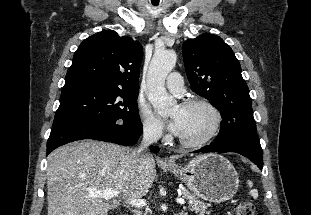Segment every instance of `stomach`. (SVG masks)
Masks as SVG:
<instances>
[{
  "instance_id": "obj_1",
  "label": "stomach",
  "mask_w": 311,
  "mask_h": 215,
  "mask_svg": "<svg viewBox=\"0 0 311 215\" xmlns=\"http://www.w3.org/2000/svg\"><path fill=\"white\" fill-rule=\"evenodd\" d=\"M197 196L212 203H221L233 198L239 187V178L234 166L218 154L196 156L185 166H169Z\"/></svg>"
}]
</instances>
